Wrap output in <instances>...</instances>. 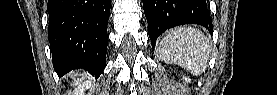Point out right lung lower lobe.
Returning <instances> with one entry per match:
<instances>
[{
    "label": "right lung lower lobe",
    "mask_w": 277,
    "mask_h": 95,
    "mask_svg": "<svg viewBox=\"0 0 277 95\" xmlns=\"http://www.w3.org/2000/svg\"><path fill=\"white\" fill-rule=\"evenodd\" d=\"M111 0H49L53 66L59 75L83 68L97 79L106 63Z\"/></svg>",
    "instance_id": "right-lung-lower-lobe-1"
}]
</instances>
